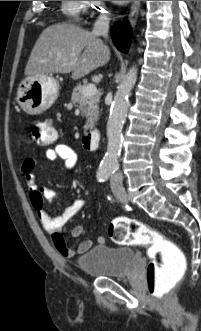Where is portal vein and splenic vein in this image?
Wrapping results in <instances>:
<instances>
[{
	"instance_id": "obj_1",
	"label": "portal vein and splenic vein",
	"mask_w": 201,
	"mask_h": 331,
	"mask_svg": "<svg viewBox=\"0 0 201 331\" xmlns=\"http://www.w3.org/2000/svg\"><path fill=\"white\" fill-rule=\"evenodd\" d=\"M58 56H61V54H58ZM96 92H97V88L94 84H88L83 89V94L86 97L92 96L96 94Z\"/></svg>"
}]
</instances>
